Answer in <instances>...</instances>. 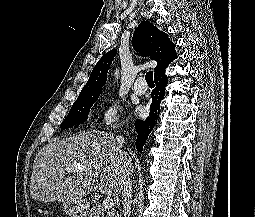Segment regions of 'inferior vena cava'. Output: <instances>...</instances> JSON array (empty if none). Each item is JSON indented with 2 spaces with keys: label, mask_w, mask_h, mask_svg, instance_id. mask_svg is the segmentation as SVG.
<instances>
[{
  "label": "inferior vena cava",
  "mask_w": 255,
  "mask_h": 217,
  "mask_svg": "<svg viewBox=\"0 0 255 217\" xmlns=\"http://www.w3.org/2000/svg\"><path fill=\"white\" fill-rule=\"evenodd\" d=\"M116 148L119 153V161L121 173L123 175V213L124 217H130L131 214V203H132V182L130 179V170L128 169L127 161L128 156L125 152L122 151V146L124 143V138L122 136H116L115 138Z\"/></svg>",
  "instance_id": "obj_1"
}]
</instances>
